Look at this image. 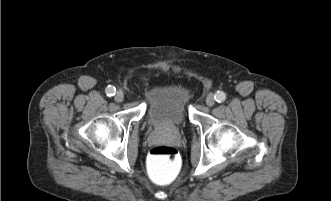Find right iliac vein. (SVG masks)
<instances>
[{
	"label": "right iliac vein",
	"mask_w": 331,
	"mask_h": 201,
	"mask_svg": "<svg viewBox=\"0 0 331 201\" xmlns=\"http://www.w3.org/2000/svg\"><path fill=\"white\" fill-rule=\"evenodd\" d=\"M114 99L117 101V102H122L123 99H124V94L121 90H118L114 96Z\"/></svg>",
	"instance_id": "obj_1"
}]
</instances>
